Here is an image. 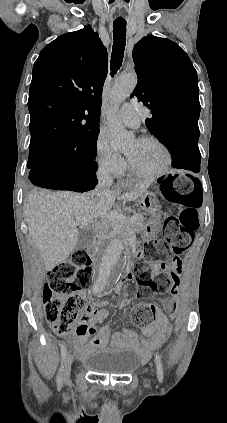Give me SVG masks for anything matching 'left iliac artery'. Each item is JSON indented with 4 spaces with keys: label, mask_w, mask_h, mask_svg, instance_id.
Returning <instances> with one entry per match:
<instances>
[{
    "label": "left iliac artery",
    "mask_w": 227,
    "mask_h": 423,
    "mask_svg": "<svg viewBox=\"0 0 227 423\" xmlns=\"http://www.w3.org/2000/svg\"><path fill=\"white\" fill-rule=\"evenodd\" d=\"M155 362H156V369H157V378H158L159 382H162L163 377H164L163 366H162V362H161V357L157 353L155 355Z\"/></svg>",
    "instance_id": "obj_1"
}]
</instances>
